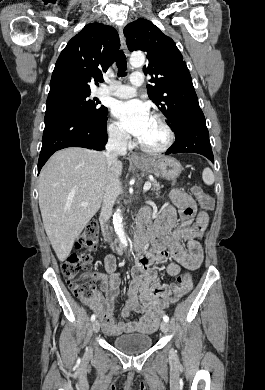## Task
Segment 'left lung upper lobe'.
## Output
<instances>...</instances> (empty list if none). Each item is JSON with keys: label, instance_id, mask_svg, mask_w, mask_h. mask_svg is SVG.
<instances>
[{"label": "left lung upper lobe", "instance_id": "1", "mask_svg": "<svg viewBox=\"0 0 265 390\" xmlns=\"http://www.w3.org/2000/svg\"><path fill=\"white\" fill-rule=\"evenodd\" d=\"M130 51L147 53L145 74L152 76L147 85L149 98L168 119L174 132L194 111L200 110L191 75L174 41L164 35L151 21L137 19L124 28Z\"/></svg>", "mask_w": 265, "mask_h": 390}]
</instances>
